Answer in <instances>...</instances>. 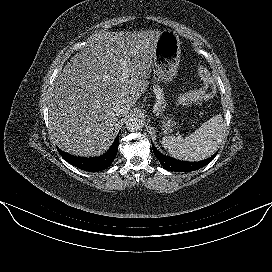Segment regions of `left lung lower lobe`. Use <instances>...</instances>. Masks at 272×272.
I'll list each match as a JSON object with an SVG mask.
<instances>
[{
	"instance_id": "0a47b994",
	"label": "left lung lower lobe",
	"mask_w": 272,
	"mask_h": 272,
	"mask_svg": "<svg viewBox=\"0 0 272 272\" xmlns=\"http://www.w3.org/2000/svg\"><path fill=\"white\" fill-rule=\"evenodd\" d=\"M153 152L155 154V157L159 160L161 165L168 171H177V172H189L194 171L197 169H200L210 163L217 153H215L213 156H211L208 159H205L203 161L199 162H186V161H180L173 158H170L168 156H165L161 154L152 144Z\"/></svg>"
}]
</instances>
